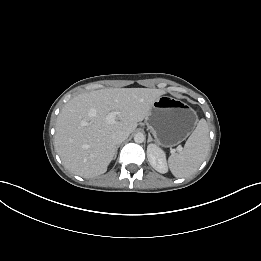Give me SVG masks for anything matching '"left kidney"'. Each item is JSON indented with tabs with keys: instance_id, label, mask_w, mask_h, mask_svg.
<instances>
[{
	"instance_id": "5707ae66",
	"label": "left kidney",
	"mask_w": 261,
	"mask_h": 261,
	"mask_svg": "<svg viewBox=\"0 0 261 261\" xmlns=\"http://www.w3.org/2000/svg\"><path fill=\"white\" fill-rule=\"evenodd\" d=\"M147 157L151 166L160 173L168 171L166 156L163 150L154 144H149L147 147Z\"/></svg>"
}]
</instances>
